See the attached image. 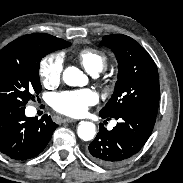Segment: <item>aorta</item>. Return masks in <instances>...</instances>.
<instances>
[{
	"label": "aorta",
	"instance_id": "1",
	"mask_svg": "<svg viewBox=\"0 0 183 183\" xmlns=\"http://www.w3.org/2000/svg\"><path fill=\"white\" fill-rule=\"evenodd\" d=\"M63 80L69 86H85L88 78L77 67H67L63 72ZM77 134L83 141H90L96 134L94 123L89 121H81L77 128Z\"/></svg>",
	"mask_w": 183,
	"mask_h": 183
}]
</instances>
